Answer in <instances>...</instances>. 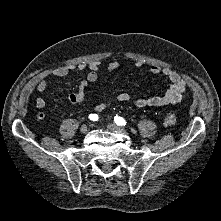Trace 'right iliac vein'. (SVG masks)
Returning <instances> with one entry per match:
<instances>
[{"label":"right iliac vein","mask_w":221,"mask_h":221,"mask_svg":"<svg viewBox=\"0 0 221 221\" xmlns=\"http://www.w3.org/2000/svg\"><path fill=\"white\" fill-rule=\"evenodd\" d=\"M80 131H81V133H86L87 131H88V126L87 125H82L81 127H80Z\"/></svg>","instance_id":"63e3f726"}]
</instances>
